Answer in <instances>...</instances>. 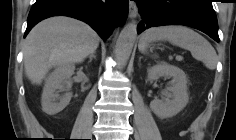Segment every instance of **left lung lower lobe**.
I'll return each mask as SVG.
<instances>
[{
  "mask_svg": "<svg viewBox=\"0 0 236 140\" xmlns=\"http://www.w3.org/2000/svg\"><path fill=\"white\" fill-rule=\"evenodd\" d=\"M142 21L138 33L155 26L185 25L219 42L218 23L211 0H137Z\"/></svg>",
  "mask_w": 236,
  "mask_h": 140,
  "instance_id": "0a47b994",
  "label": "left lung lower lobe"
}]
</instances>
